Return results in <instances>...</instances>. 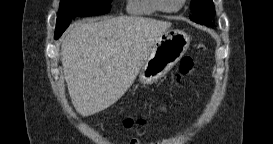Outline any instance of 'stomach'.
<instances>
[{
    "label": "stomach",
    "instance_id": "stomach-1",
    "mask_svg": "<svg viewBox=\"0 0 273 144\" xmlns=\"http://www.w3.org/2000/svg\"><path fill=\"white\" fill-rule=\"evenodd\" d=\"M190 37L182 30L169 29L152 47L139 72L143 84H152L164 77L186 53Z\"/></svg>",
    "mask_w": 273,
    "mask_h": 144
}]
</instances>
